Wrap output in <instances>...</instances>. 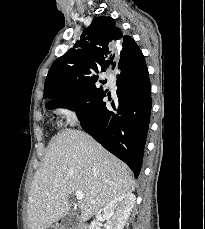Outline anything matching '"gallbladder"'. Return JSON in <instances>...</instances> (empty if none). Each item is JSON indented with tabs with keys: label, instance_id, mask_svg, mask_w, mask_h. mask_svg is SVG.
<instances>
[{
	"label": "gallbladder",
	"instance_id": "gallbladder-1",
	"mask_svg": "<svg viewBox=\"0 0 205 229\" xmlns=\"http://www.w3.org/2000/svg\"><path fill=\"white\" fill-rule=\"evenodd\" d=\"M76 221V217L73 219V222H75Z\"/></svg>",
	"mask_w": 205,
	"mask_h": 229
}]
</instances>
